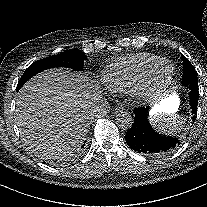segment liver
I'll use <instances>...</instances> for the list:
<instances>
[{"label": "liver", "instance_id": "6515ba94", "mask_svg": "<svg viewBox=\"0 0 207 207\" xmlns=\"http://www.w3.org/2000/svg\"><path fill=\"white\" fill-rule=\"evenodd\" d=\"M95 94L86 76L68 68L32 77L16 99L15 121L25 145L46 156L81 147L96 113Z\"/></svg>", "mask_w": 207, "mask_h": 207}]
</instances>
